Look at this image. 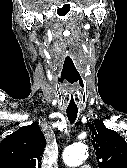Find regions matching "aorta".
<instances>
[{"instance_id":"1","label":"aorta","mask_w":127,"mask_h":168,"mask_svg":"<svg viewBox=\"0 0 127 168\" xmlns=\"http://www.w3.org/2000/svg\"><path fill=\"white\" fill-rule=\"evenodd\" d=\"M88 157V151L85 145L77 143L69 146L63 153L64 163L69 167L81 165Z\"/></svg>"}]
</instances>
